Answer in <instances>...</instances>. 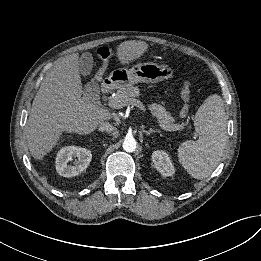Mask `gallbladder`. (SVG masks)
<instances>
[{
  "label": "gallbladder",
  "instance_id": "gallbladder-1",
  "mask_svg": "<svg viewBox=\"0 0 261 261\" xmlns=\"http://www.w3.org/2000/svg\"><path fill=\"white\" fill-rule=\"evenodd\" d=\"M93 66V58L89 54H84L79 60V71L83 76L91 73ZM83 94L86 98L96 102L99 98V86L95 82L87 83L83 88Z\"/></svg>",
  "mask_w": 261,
  "mask_h": 261
}]
</instances>
